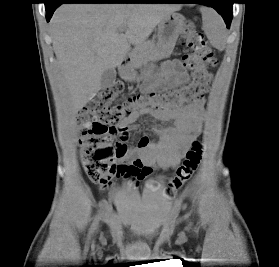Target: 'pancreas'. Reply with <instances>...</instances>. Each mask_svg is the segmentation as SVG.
I'll return each mask as SVG.
<instances>
[{
	"mask_svg": "<svg viewBox=\"0 0 279 267\" xmlns=\"http://www.w3.org/2000/svg\"><path fill=\"white\" fill-rule=\"evenodd\" d=\"M132 62L135 67H139L141 64L148 61L157 60L161 57H165L157 47L154 41H146L137 45L131 52ZM167 56V55H166Z\"/></svg>",
	"mask_w": 279,
	"mask_h": 267,
	"instance_id": "cf45deb5",
	"label": "pancreas"
}]
</instances>
